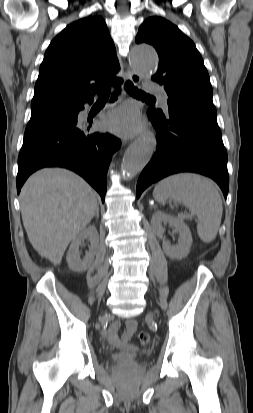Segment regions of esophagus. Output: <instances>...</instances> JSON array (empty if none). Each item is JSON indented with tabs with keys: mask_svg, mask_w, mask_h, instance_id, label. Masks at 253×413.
<instances>
[{
	"mask_svg": "<svg viewBox=\"0 0 253 413\" xmlns=\"http://www.w3.org/2000/svg\"><path fill=\"white\" fill-rule=\"evenodd\" d=\"M128 75H129V79L135 83V84H139L141 82V77L140 75H138L137 73H135L132 70H128Z\"/></svg>",
	"mask_w": 253,
	"mask_h": 413,
	"instance_id": "esophagus-1",
	"label": "esophagus"
}]
</instances>
